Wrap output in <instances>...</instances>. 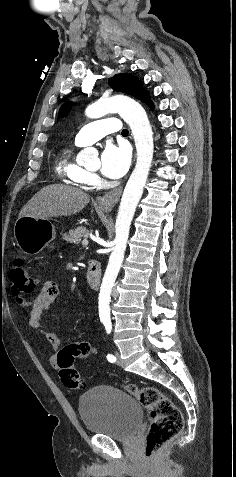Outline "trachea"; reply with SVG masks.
Listing matches in <instances>:
<instances>
[{"instance_id":"3493384b","label":"trachea","mask_w":236,"mask_h":477,"mask_svg":"<svg viewBox=\"0 0 236 477\" xmlns=\"http://www.w3.org/2000/svg\"><path fill=\"white\" fill-rule=\"evenodd\" d=\"M122 134H128V130H127V129H124V130L122 131Z\"/></svg>"}]
</instances>
